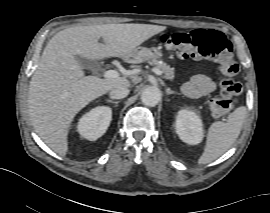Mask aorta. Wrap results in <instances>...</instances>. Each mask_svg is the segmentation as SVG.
Segmentation results:
<instances>
[{
    "instance_id": "762f6f07",
    "label": "aorta",
    "mask_w": 270,
    "mask_h": 213,
    "mask_svg": "<svg viewBox=\"0 0 270 213\" xmlns=\"http://www.w3.org/2000/svg\"><path fill=\"white\" fill-rule=\"evenodd\" d=\"M161 99L160 90L157 87H148L141 94V101L144 105L155 106Z\"/></svg>"
}]
</instances>
